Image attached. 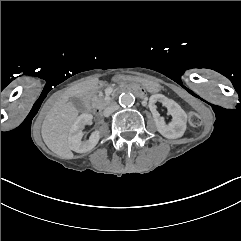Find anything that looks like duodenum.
I'll return each mask as SVG.
<instances>
[{"instance_id": "duodenum-1", "label": "duodenum", "mask_w": 241, "mask_h": 241, "mask_svg": "<svg viewBox=\"0 0 241 241\" xmlns=\"http://www.w3.org/2000/svg\"><path fill=\"white\" fill-rule=\"evenodd\" d=\"M121 93H133L139 97L144 96L143 90L139 86H136V85L125 86V87L118 89L117 94H121ZM94 111L97 114H99L101 112L100 108H95Z\"/></svg>"}]
</instances>
